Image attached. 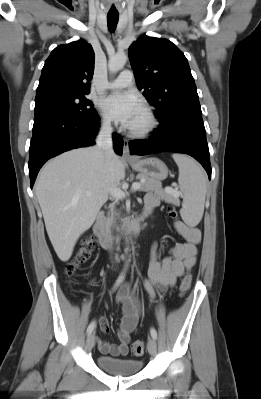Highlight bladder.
<instances>
[{
	"label": "bladder",
	"mask_w": 261,
	"mask_h": 399,
	"mask_svg": "<svg viewBox=\"0 0 261 399\" xmlns=\"http://www.w3.org/2000/svg\"><path fill=\"white\" fill-rule=\"evenodd\" d=\"M97 365L105 372L116 375H134L142 368V361L135 359H122L107 356H98Z\"/></svg>",
	"instance_id": "bladder-1"
}]
</instances>
